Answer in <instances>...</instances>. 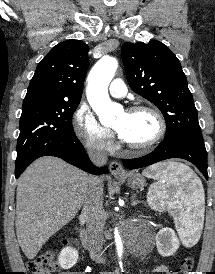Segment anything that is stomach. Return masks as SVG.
I'll return each instance as SVG.
<instances>
[{
    "instance_id": "0dacf381",
    "label": "stomach",
    "mask_w": 215,
    "mask_h": 274,
    "mask_svg": "<svg viewBox=\"0 0 215 274\" xmlns=\"http://www.w3.org/2000/svg\"><path fill=\"white\" fill-rule=\"evenodd\" d=\"M118 179L126 181L133 189L143 188L146 184L145 178L138 173H130L126 176H117Z\"/></svg>"
}]
</instances>
